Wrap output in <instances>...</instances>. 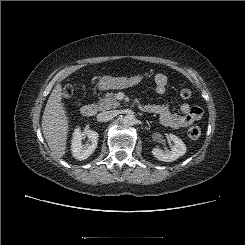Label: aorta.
<instances>
[{
	"mask_svg": "<svg viewBox=\"0 0 245 245\" xmlns=\"http://www.w3.org/2000/svg\"><path fill=\"white\" fill-rule=\"evenodd\" d=\"M135 122H136V118L134 115H126L122 119V123L126 126H132L133 124H135Z\"/></svg>",
	"mask_w": 245,
	"mask_h": 245,
	"instance_id": "aorta-1",
	"label": "aorta"
}]
</instances>
